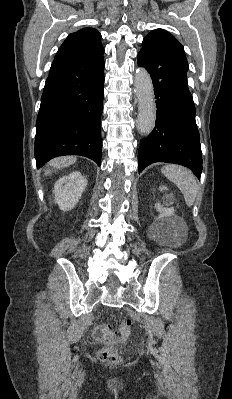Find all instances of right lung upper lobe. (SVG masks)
<instances>
[{
  "label": "right lung upper lobe",
  "mask_w": 232,
  "mask_h": 399,
  "mask_svg": "<svg viewBox=\"0 0 232 399\" xmlns=\"http://www.w3.org/2000/svg\"><path fill=\"white\" fill-rule=\"evenodd\" d=\"M101 34L93 28L71 33L59 48L55 59H77L103 54Z\"/></svg>",
  "instance_id": "right-lung-upper-lobe-1"
}]
</instances>
